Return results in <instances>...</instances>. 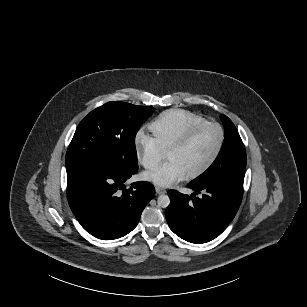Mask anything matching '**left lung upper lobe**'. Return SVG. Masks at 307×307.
<instances>
[{"label": "left lung upper lobe", "instance_id": "obj_1", "mask_svg": "<svg viewBox=\"0 0 307 307\" xmlns=\"http://www.w3.org/2000/svg\"><path fill=\"white\" fill-rule=\"evenodd\" d=\"M225 138L220 153L210 168L192 180V186H201L215 181H228L243 186L246 169V151L240 135L225 115L220 116Z\"/></svg>", "mask_w": 307, "mask_h": 307}]
</instances>
